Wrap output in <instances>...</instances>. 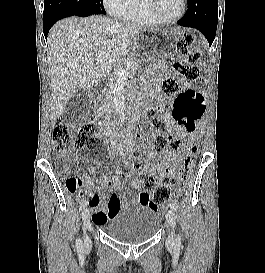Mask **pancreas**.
<instances>
[{"label":"pancreas","instance_id":"1","mask_svg":"<svg viewBox=\"0 0 265 273\" xmlns=\"http://www.w3.org/2000/svg\"><path fill=\"white\" fill-rule=\"evenodd\" d=\"M140 64H141V61L132 55H128V57L122 58L121 60H119L117 64H115L114 72L111 76L108 88L103 93L104 99L101 102L102 110H105V111L112 110L115 88L120 83V78L117 75L118 70L122 69L126 73L127 77H132L138 70V67Z\"/></svg>","mask_w":265,"mask_h":273}]
</instances>
